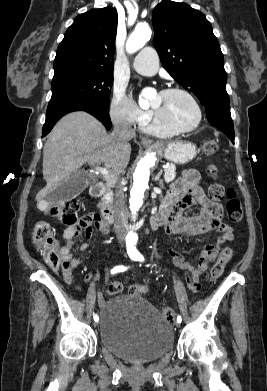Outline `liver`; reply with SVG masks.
Wrapping results in <instances>:
<instances>
[{"label": "liver", "instance_id": "liver-1", "mask_svg": "<svg viewBox=\"0 0 267 391\" xmlns=\"http://www.w3.org/2000/svg\"><path fill=\"white\" fill-rule=\"evenodd\" d=\"M130 154L131 146L118 143L92 115L84 111L65 115L44 144L43 176L46 186L36 195L38 206L62 182L80 175V168L86 162L95 166L103 163L112 175H119L127 167Z\"/></svg>", "mask_w": 267, "mask_h": 391}]
</instances>
